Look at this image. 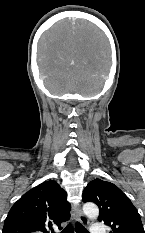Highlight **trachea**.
<instances>
[{
  "instance_id": "1",
  "label": "trachea",
  "mask_w": 145,
  "mask_h": 233,
  "mask_svg": "<svg viewBox=\"0 0 145 233\" xmlns=\"http://www.w3.org/2000/svg\"><path fill=\"white\" fill-rule=\"evenodd\" d=\"M74 230L76 233H89V231H87V229L79 222L75 223L74 226L72 224H68L61 233H74Z\"/></svg>"
}]
</instances>
